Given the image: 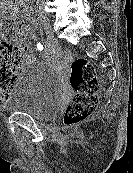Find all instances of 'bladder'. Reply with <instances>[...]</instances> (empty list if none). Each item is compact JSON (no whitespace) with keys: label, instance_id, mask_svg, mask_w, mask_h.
I'll return each instance as SVG.
<instances>
[{"label":"bladder","instance_id":"obj_1","mask_svg":"<svg viewBox=\"0 0 133 173\" xmlns=\"http://www.w3.org/2000/svg\"><path fill=\"white\" fill-rule=\"evenodd\" d=\"M64 91L62 78L54 68L46 63L32 62L21 69L0 108L47 120L58 111Z\"/></svg>","mask_w":133,"mask_h":173}]
</instances>
